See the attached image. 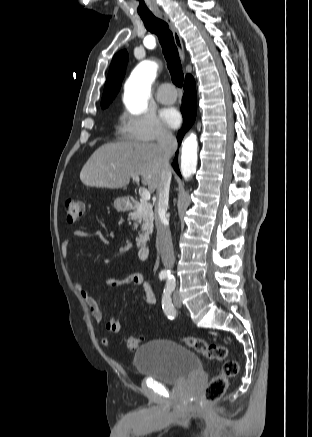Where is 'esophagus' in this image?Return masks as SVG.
Segmentation results:
<instances>
[{"label": "esophagus", "instance_id": "1", "mask_svg": "<svg viewBox=\"0 0 312 437\" xmlns=\"http://www.w3.org/2000/svg\"><path fill=\"white\" fill-rule=\"evenodd\" d=\"M157 16L168 24V26L173 34L175 44L178 48L180 58L184 62V60H185L184 46H183V42H182L181 36H180L177 28L175 27L174 23L172 22V20L170 19V17L167 14H165L163 12H158Z\"/></svg>", "mask_w": 312, "mask_h": 437}]
</instances>
